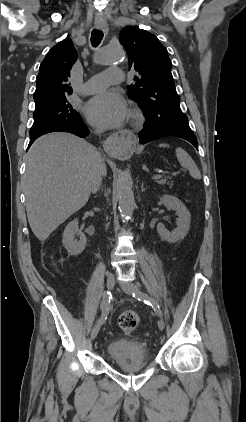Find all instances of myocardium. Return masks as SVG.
I'll return each mask as SVG.
<instances>
[{"label": "myocardium", "instance_id": "obj_1", "mask_svg": "<svg viewBox=\"0 0 246 422\" xmlns=\"http://www.w3.org/2000/svg\"><path fill=\"white\" fill-rule=\"evenodd\" d=\"M131 123L134 127H141L144 123V116L141 111L134 109L131 113Z\"/></svg>", "mask_w": 246, "mask_h": 422}]
</instances>
